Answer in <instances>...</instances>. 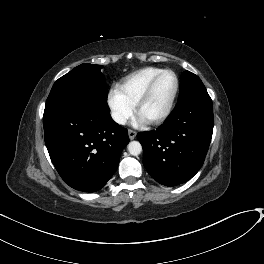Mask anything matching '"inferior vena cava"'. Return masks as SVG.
<instances>
[{"mask_svg":"<svg viewBox=\"0 0 264 264\" xmlns=\"http://www.w3.org/2000/svg\"><path fill=\"white\" fill-rule=\"evenodd\" d=\"M111 116L113 120L119 124L124 125L126 123V117L118 112H113Z\"/></svg>","mask_w":264,"mask_h":264,"instance_id":"602c4592","label":"inferior vena cava"}]
</instances>
